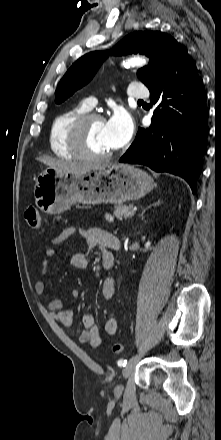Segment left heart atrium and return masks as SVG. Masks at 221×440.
<instances>
[{"mask_svg":"<svg viewBox=\"0 0 221 440\" xmlns=\"http://www.w3.org/2000/svg\"><path fill=\"white\" fill-rule=\"evenodd\" d=\"M134 123L130 114L124 109H118L106 122L105 131L109 145L117 149L125 145L131 138Z\"/></svg>","mask_w":221,"mask_h":440,"instance_id":"left-heart-atrium-1","label":"left heart atrium"}]
</instances>
